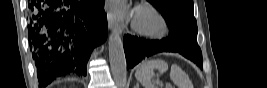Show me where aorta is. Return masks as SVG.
<instances>
[{
  "label": "aorta",
  "mask_w": 267,
  "mask_h": 88,
  "mask_svg": "<svg viewBox=\"0 0 267 88\" xmlns=\"http://www.w3.org/2000/svg\"><path fill=\"white\" fill-rule=\"evenodd\" d=\"M108 47L110 67L114 81L118 87L122 88L127 82V63L121 37L115 30L109 35Z\"/></svg>",
  "instance_id": "762f6f07"
}]
</instances>
